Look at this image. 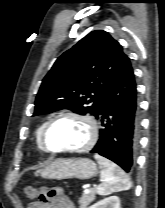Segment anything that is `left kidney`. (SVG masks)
<instances>
[{
	"instance_id": "1",
	"label": "left kidney",
	"mask_w": 165,
	"mask_h": 208,
	"mask_svg": "<svg viewBox=\"0 0 165 208\" xmlns=\"http://www.w3.org/2000/svg\"><path fill=\"white\" fill-rule=\"evenodd\" d=\"M89 208H120V199L117 196H110L98 201Z\"/></svg>"
}]
</instances>
